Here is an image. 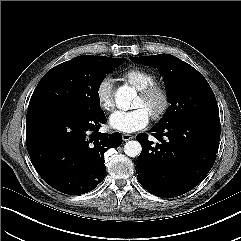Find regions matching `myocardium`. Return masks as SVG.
<instances>
[{"label": "myocardium", "mask_w": 241, "mask_h": 241, "mask_svg": "<svg viewBox=\"0 0 241 241\" xmlns=\"http://www.w3.org/2000/svg\"><path fill=\"white\" fill-rule=\"evenodd\" d=\"M139 96L143 100H151L153 98H159V106L150 112V116L154 120H160L165 116L171 105V98L168 89L160 84L154 83L141 90H139Z\"/></svg>", "instance_id": "f54148a6"}]
</instances>
